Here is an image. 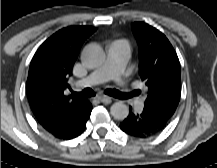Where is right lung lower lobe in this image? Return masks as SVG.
Wrapping results in <instances>:
<instances>
[{"label": "right lung lower lobe", "instance_id": "1", "mask_svg": "<svg viewBox=\"0 0 217 168\" xmlns=\"http://www.w3.org/2000/svg\"><path fill=\"white\" fill-rule=\"evenodd\" d=\"M91 111L92 105L89 104L83 112L68 119L62 126L48 132L58 139L69 140L75 138L84 131Z\"/></svg>", "mask_w": 217, "mask_h": 168}]
</instances>
